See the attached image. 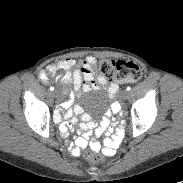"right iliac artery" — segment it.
Masks as SVG:
<instances>
[{"mask_svg": "<svg viewBox=\"0 0 183 183\" xmlns=\"http://www.w3.org/2000/svg\"><path fill=\"white\" fill-rule=\"evenodd\" d=\"M50 90L53 91L54 90V87H50Z\"/></svg>", "mask_w": 183, "mask_h": 183, "instance_id": "obj_1", "label": "right iliac artery"}]
</instances>
